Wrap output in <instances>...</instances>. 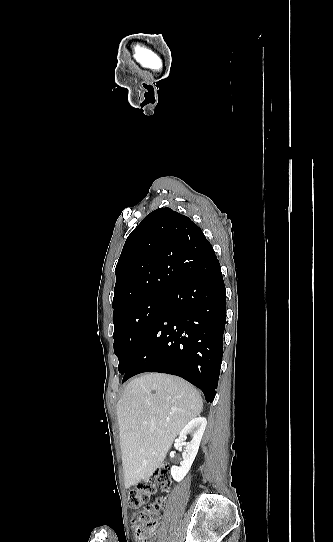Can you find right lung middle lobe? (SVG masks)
Listing matches in <instances>:
<instances>
[{"mask_svg": "<svg viewBox=\"0 0 333 542\" xmlns=\"http://www.w3.org/2000/svg\"><path fill=\"white\" fill-rule=\"evenodd\" d=\"M167 301L168 292L161 293L145 302L125 307L113 316L114 353L119 359L118 370L121 374L128 369L136 350Z\"/></svg>", "mask_w": 333, "mask_h": 542, "instance_id": "right-lung-middle-lobe-1", "label": "right lung middle lobe"}]
</instances>
